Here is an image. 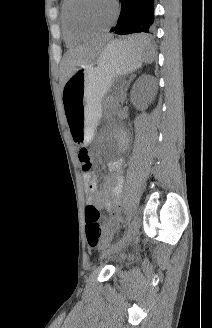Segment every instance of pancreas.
Instances as JSON below:
<instances>
[{
    "instance_id": "1",
    "label": "pancreas",
    "mask_w": 212,
    "mask_h": 328,
    "mask_svg": "<svg viewBox=\"0 0 212 328\" xmlns=\"http://www.w3.org/2000/svg\"><path fill=\"white\" fill-rule=\"evenodd\" d=\"M104 106L106 109L114 112L116 109L119 108L118 100L112 96L107 97Z\"/></svg>"
}]
</instances>
